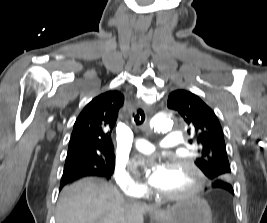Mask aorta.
I'll use <instances>...</instances> for the list:
<instances>
[{
    "instance_id": "aorta-1",
    "label": "aorta",
    "mask_w": 267,
    "mask_h": 223,
    "mask_svg": "<svg viewBox=\"0 0 267 223\" xmlns=\"http://www.w3.org/2000/svg\"><path fill=\"white\" fill-rule=\"evenodd\" d=\"M150 125L157 131H169L173 126V121L169 117L155 118Z\"/></svg>"
}]
</instances>
